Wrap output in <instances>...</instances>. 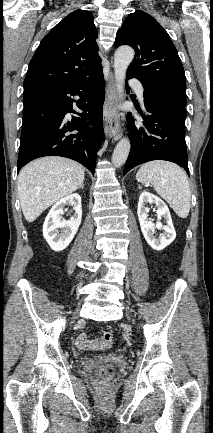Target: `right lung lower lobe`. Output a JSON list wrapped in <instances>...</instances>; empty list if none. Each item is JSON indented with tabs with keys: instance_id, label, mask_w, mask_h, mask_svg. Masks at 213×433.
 Here are the masks:
<instances>
[{
	"instance_id": "1",
	"label": "right lung lower lobe",
	"mask_w": 213,
	"mask_h": 433,
	"mask_svg": "<svg viewBox=\"0 0 213 433\" xmlns=\"http://www.w3.org/2000/svg\"><path fill=\"white\" fill-rule=\"evenodd\" d=\"M74 95L80 99H72ZM104 99L102 69L64 88H25L18 172L33 159L59 155L80 162L94 174L96 152L104 140ZM74 103L83 113L73 110ZM68 113L78 116L69 119Z\"/></svg>"
}]
</instances>
